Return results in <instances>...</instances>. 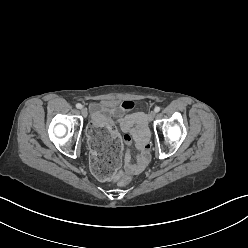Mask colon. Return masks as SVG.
Masks as SVG:
<instances>
[{
	"label": "colon",
	"instance_id": "1",
	"mask_svg": "<svg viewBox=\"0 0 248 248\" xmlns=\"http://www.w3.org/2000/svg\"><path fill=\"white\" fill-rule=\"evenodd\" d=\"M84 131L92 146L89 153L90 168L100 179L108 180L112 178L116 169L122 165V153L120 149V139L115 133L113 126L105 120L97 119L88 122L84 126ZM129 176H120L119 185L126 187L130 184Z\"/></svg>",
	"mask_w": 248,
	"mask_h": 248
}]
</instances>
